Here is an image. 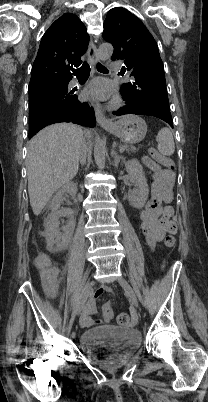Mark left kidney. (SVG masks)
<instances>
[{
  "label": "left kidney",
  "instance_id": "left-kidney-1",
  "mask_svg": "<svg viewBox=\"0 0 208 402\" xmlns=\"http://www.w3.org/2000/svg\"><path fill=\"white\" fill-rule=\"evenodd\" d=\"M125 170L129 176L130 186H136L133 190H129L128 200L133 208L141 210L144 208L149 194L143 168L138 160H129V162H125Z\"/></svg>",
  "mask_w": 208,
  "mask_h": 402
}]
</instances>
